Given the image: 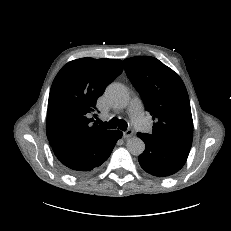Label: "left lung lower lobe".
I'll return each mask as SVG.
<instances>
[{
	"mask_svg": "<svg viewBox=\"0 0 231 231\" xmlns=\"http://www.w3.org/2000/svg\"><path fill=\"white\" fill-rule=\"evenodd\" d=\"M137 135L145 142V150L138 160L147 173L166 177L179 171L185 164L190 148L156 141L143 133Z\"/></svg>",
	"mask_w": 231,
	"mask_h": 231,
	"instance_id": "left-lung-lower-lobe-1",
	"label": "left lung lower lobe"
}]
</instances>
